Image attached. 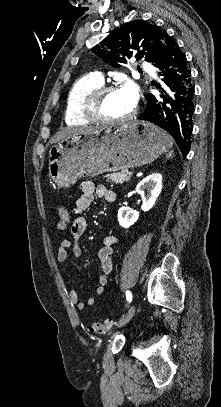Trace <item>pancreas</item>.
Instances as JSON below:
<instances>
[{
  "mask_svg": "<svg viewBox=\"0 0 221 407\" xmlns=\"http://www.w3.org/2000/svg\"><path fill=\"white\" fill-rule=\"evenodd\" d=\"M105 177L107 178L108 182L122 184L123 182L129 181L131 175H129V171L127 169H124L121 172L106 174Z\"/></svg>",
  "mask_w": 221,
  "mask_h": 407,
  "instance_id": "pancreas-1",
  "label": "pancreas"
}]
</instances>
